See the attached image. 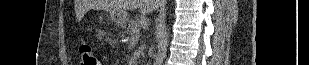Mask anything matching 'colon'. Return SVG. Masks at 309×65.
<instances>
[{
  "mask_svg": "<svg viewBox=\"0 0 309 65\" xmlns=\"http://www.w3.org/2000/svg\"><path fill=\"white\" fill-rule=\"evenodd\" d=\"M79 51L81 56V65H99L93 47L89 42L83 41L80 44Z\"/></svg>",
  "mask_w": 309,
  "mask_h": 65,
  "instance_id": "5ec220e1",
  "label": "colon"
}]
</instances>
